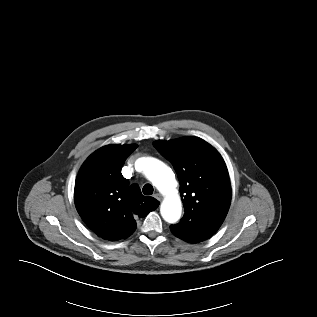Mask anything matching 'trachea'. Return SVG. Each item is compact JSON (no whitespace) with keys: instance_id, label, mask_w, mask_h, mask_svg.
Masks as SVG:
<instances>
[{"instance_id":"obj_1","label":"trachea","mask_w":317,"mask_h":317,"mask_svg":"<svg viewBox=\"0 0 317 317\" xmlns=\"http://www.w3.org/2000/svg\"><path fill=\"white\" fill-rule=\"evenodd\" d=\"M142 191L145 195H151L153 193L154 189H153V186L151 184H146V185H144Z\"/></svg>"}]
</instances>
